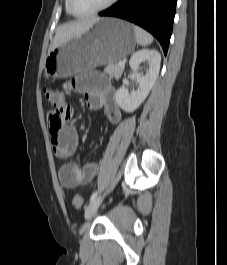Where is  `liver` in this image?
Listing matches in <instances>:
<instances>
[{
    "label": "liver",
    "instance_id": "obj_1",
    "mask_svg": "<svg viewBox=\"0 0 227 265\" xmlns=\"http://www.w3.org/2000/svg\"><path fill=\"white\" fill-rule=\"evenodd\" d=\"M98 20L99 19L79 20L61 25L56 32L52 45L50 46V51L68 40L82 35Z\"/></svg>",
    "mask_w": 227,
    "mask_h": 265
}]
</instances>
